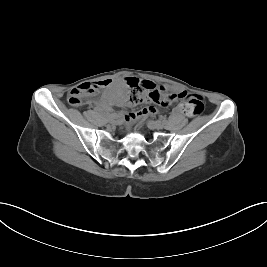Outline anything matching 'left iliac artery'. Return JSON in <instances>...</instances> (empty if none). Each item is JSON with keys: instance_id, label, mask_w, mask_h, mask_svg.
Here are the masks:
<instances>
[{"instance_id": "obj_1", "label": "left iliac artery", "mask_w": 267, "mask_h": 267, "mask_svg": "<svg viewBox=\"0 0 267 267\" xmlns=\"http://www.w3.org/2000/svg\"><path fill=\"white\" fill-rule=\"evenodd\" d=\"M161 120L165 123L166 122V118H161Z\"/></svg>"}]
</instances>
